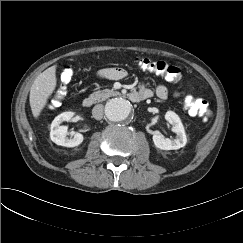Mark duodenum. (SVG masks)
I'll list each match as a JSON object with an SVG mask.
<instances>
[{"instance_id": "obj_1", "label": "duodenum", "mask_w": 243, "mask_h": 243, "mask_svg": "<svg viewBox=\"0 0 243 243\" xmlns=\"http://www.w3.org/2000/svg\"><path fill=\"white\" fill-rule=\"evenodd\" d=\"M129 98L133 102H139V101L146 99V96L138 94L136 92H132V93L129 94ZM93 104H94V99L91 98V97H86L82 101V106L85 107V108H89Z\"/></svg>"}]
</instances>
